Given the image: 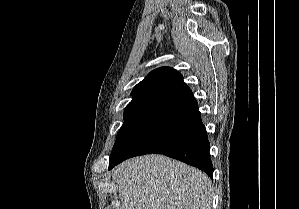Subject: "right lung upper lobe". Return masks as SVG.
Instances as JSON below:
<instances>
[{"label": "right lung upper lobe", "mask_w": 299, "mask_h": 209, "mask_svg": "<svg viewBox=\"0 0 299 209\" xmlns=\"http://www.w3.org/2000/svg\"><path fill=\"white\" fill-rule=\"evenodd\" d=\"M185 86L180 73L170 67H161L150 72L132 90L128 105L154 103L160 105L177 90Z\"/></svg>", "instance_id": "1"}]
</instances>
